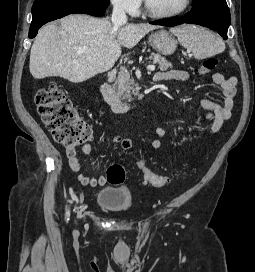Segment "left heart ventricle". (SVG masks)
I'll use <instances>...</instances> for the list:
<instances>
[{
  "label": "left heart ventricle",
  "mask_w": 255,
  "mask_h": 272,
  "mask_svg": "<svg viewBox=\"0 0 255 272\" xmlns=\"http://www.w3.org/2000/svg\"><path fill=\"white\" fill-rule=\"evenodd\" d=\"M185 0H147V3L155 12L163 13L179 9Z\"/></svg>",
  "instance_id": "left-heart-ventricle-1"
}]
</instances>
